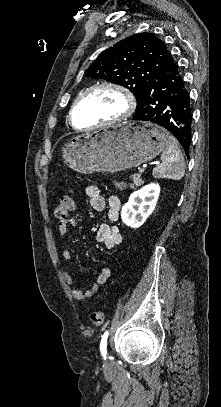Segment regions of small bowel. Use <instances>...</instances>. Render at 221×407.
<instances>
[{"label": "small bowel", "mask_w": 221, "mask_h": 407, "mask_svg": "<svg viewBox=\"0 0 221 407\" xmlns=\"http://www.w3.org/2000/svg\"><path fill=\"white\" fill-rule=\"evenodd\" d=\"M84 192L89 200L91 207L96 211H103L108 205L107 217L110 224H103L99 228L96 236V240L99 244L106 248H113L118 245L121 240V232L116 225V222L120 217V199L116 195H110L107 200L101 194L99 187L89 184L85 186ZM76 224V218H70L66 220H60L58 222V233L62 238H65L68 234L69 227ZM63 258L65 264L62 267L64 279L66 283L72 288V295L76 301H83L96 294L100 286L106 284L111 278L112 270L110 266L104 265L96 278V282L90 286L87 290H80L75 287V279L71 275L69 270V263L71 261V254L68 250L63 251Z\"/></svg>", "instance_id": "1"}]
</instances>
